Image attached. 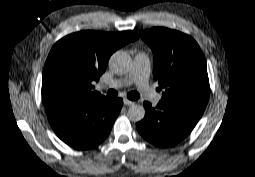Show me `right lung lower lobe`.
I'll use <instances>...</instances> for the list:
<instances>
[{"mask_svg":"<svg viewBox=\"0 0 255 177\" xmlns=\"http://www.w3.org/2000/svg\"><path fill=\"white\" fill-rule=\"evenodd\" d=\"M122 105V99L111 100L97 95L52 104L46 107V112L60 139L75 148L90 149L108 136Z\"/></svg>","mask_w":255,"mask_h":177,"instance_id":"1","label":"right lung lower lobe"}]
</instances>
